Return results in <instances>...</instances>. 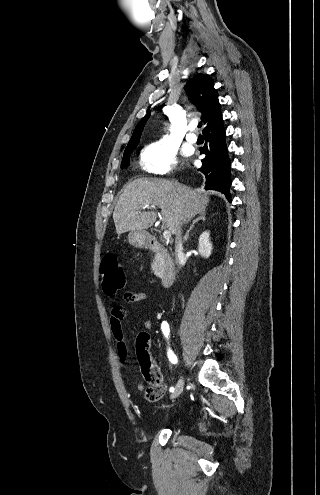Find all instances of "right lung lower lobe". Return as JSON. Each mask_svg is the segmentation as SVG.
<instances>
[{"label":"right lung lower lobe","mask_w":320,"mask_h":495,"mask_svg":"<svg viewBox=\"0 0 320 495\" xmlns=\"http://www.w3.org/2000/svg\"><path fill=\"white\" fill-rule=\"evenodd\" d=\"M205 145L200 148V153L205 154L202 159L200 171L206 179V189L220 191L225 194L229 201L231 177V162L228 157L226 146V134L223 120L218 124L203 131Z\"/></svg>","instance_id":"obj_1"}]
</instances>
